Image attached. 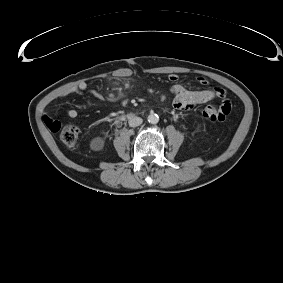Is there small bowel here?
I'll use <instances>...</instances> for the list:
<instances>
[{
    "instance_id": "1",
    "label": "small bowel",
    "mask_w": 283,
    "mask_h": 283,
    "mask_svg": "<svg viewBox=\"0 0 283 283\" xmlns=\"http://www.w3.org/2000/svg\"><path fill=\"white\" fill-rule=\"evenodd\" d=\"M167 80L171 84L170 91L173 95V106L176 110L187 112L193 110L197 105L204 104L215 98L223 99V103L227 101L226 91L221 87L192 91L179 83V77L175 74L169 75ZM197 81L203 86H207L209 83L204 77L197 78ZM86 89L87 84L82 82L73 90V92L79 94ZM66 116L70 119H75L78 116V112L76 109L71 108L66 112ZM49 124L54 126V119L49 118Z\"/></svg>"
}]
</instances>
